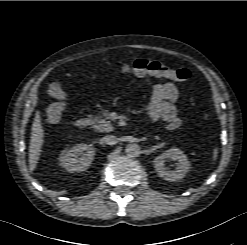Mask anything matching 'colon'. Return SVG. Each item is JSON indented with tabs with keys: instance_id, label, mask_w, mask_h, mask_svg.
Returning a JSON list of instances; mask_svg holds the SVG:
<instances>
[{
	"instance_id": "obj_1",
	"label": "colon",
	"mask_w": 247,
	"mask_h": 245,
	"mask_svg": "<svg viewBox=\"0 0 247 245\" xmlns=\"http://www.w3.org/2000/svg\"><path fill=\"white\" fill-rule=\"evenodd\" d=\"M121 71L125 75L137 77L153 75L181 83H187L191 76L188 69H172L161 61L155 59H138L132 63L123 65ZM48 93L50 97L54 99V102L47 107L45 117L49 123L54 124L60 121L65 109V91L60 84L52 83L49 86ZM181 125L182 120L179 117H176L167 123V127L170 130L179 129Z\"/></svg>"
}]
</instances>
